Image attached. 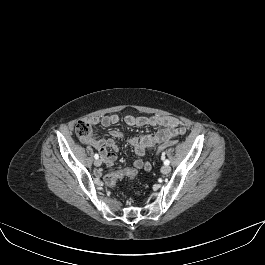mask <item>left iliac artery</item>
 Listing matches in <instances>:
<instances>
[{
  "mask_svg": "<svg viewBox=\"0 0 265 265\" xmlns=\"http://www.w3.org/2000/svg\"><path fill=\"white\" fill-rule=\"evenodd\" d=\"M164 164H165V165H169V164H170V161L166 159V160L164 161Z\"/></svg>",
  "mask_w": 265,
  "mask_h": 265,
  "instance_id": "1",
  "label": "left iliac artery"
}]
</instances>
